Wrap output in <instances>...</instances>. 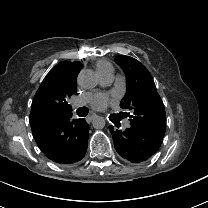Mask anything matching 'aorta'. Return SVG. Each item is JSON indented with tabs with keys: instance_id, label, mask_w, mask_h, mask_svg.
<instances>
[{
	"instance_id": "1",
	"label": "aorta",
	"mask_w": 208,
	"mask_h": 208,
	"mask_svg": "<svg viewBox=\"0 0 208 208\" xmlns=\"http://www.w3.org/2000/svg\"><path fill=\"white\" fill-rule=\"evenodd\" d=\"M92 125L94 128L101 129L105 126V119L102 116L94 115Z\"/></svg>"
}]
</instances>
